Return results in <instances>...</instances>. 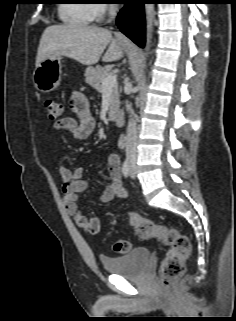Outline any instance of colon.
Returning <instances> with one entry per match:
<instances>
[{
	"label": "colon",
	"instance_id": "colon-1",
	"mask_svg": "<svg viewBox=\"0 0 236 321\" xmlns=\"http://www.w3.org/2000/svg\"><path fill=\"white\" fill-rule=\"evenodd\" d=\"M44 105L50 119L58 120L60 118L62 106L58 101L47 99ZM128 219L138 238L157 239L168 248L161 262L159 274L162 284L169 286L184 272L185 260L191 251L189 239L175 228L157 225L136 212H128ZM130 248V242L124 239L116 240L112 244V249L121 254L128 253Z\"/></svg>",
	"mask_w": 236,
	"mask_h": 321
}]
</instances>
